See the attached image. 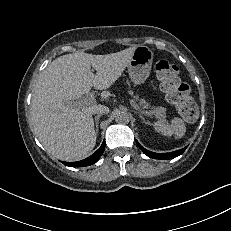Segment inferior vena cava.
Instances as JSON below:
<instances>
[{"mask_svg": "<svg viewBox=\"0 0 231 231\" xmlns=\"http://www.w3.org/2000/svg\"><path fill=\"white\" fill-rule=\"evenodd\" d=\"M109 112V108L106 106H99L96 109L93 110V114H105Z\"/></svg>", "mask_w": 231, "mask_h": 231, "instance_id": "602c4592", "label": "inferior vena cava"}]
</instances>
